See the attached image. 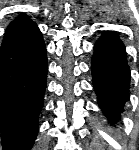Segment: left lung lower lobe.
<instances>
[{
  "instance_id": "left-lung-lower-lobe-1",
  "label": "left lung lower lobe",
  "mask_w": 139,
  "mask_h": 150,
  "mask_svg": "<svg viewBox=\"0 0 139 150\" xmlns=\"http://www.w3.org/2000/svg\"><path fill=\"white\" fill-rule=\"evenodd\" d=\"M91 65L99 106L114 123L129 100L130 70L125 47L113 32L104 33L97 41Z\"/></svg>"
}]
</instances>
